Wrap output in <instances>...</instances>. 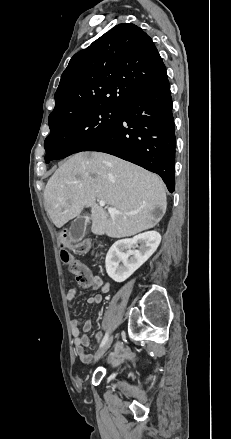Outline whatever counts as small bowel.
<instances>
[{"mask_svg": "<svg viewBox=\"0 0 231 439\" xmlns=\"http://www.w3.org/2000/svg\"><path fill=\"white\" fill-rule=\"evenodd\" d=\"M88 287L94 290H100L101 292L88 297V304H100L103 299L102 294L108 293L110 290V284L105 282L99 275L94 274H91V282L86 288ZM77 292L78 290L76 287L69 289L66 294V301L68 303L72 302L76 298ZM91 329L92 322L90 319H87L83 323L82 330L80 329V322L78 319H72L70 321V330L75 352L83 363H88L91 361V355L86 350L90 344L87 334L91 331ZM94 337L97 341H99L102 337V333L97 332ZM110 358L114 365H118L126 360H133L135 358V354L127 350L124 345L120 344L115 352L111 354Z\"/></svg>", "mask_w": 231, "mask_h": 439, "instance_id": "small-bowel-1", "label": "small bowel"}]
</instances>
